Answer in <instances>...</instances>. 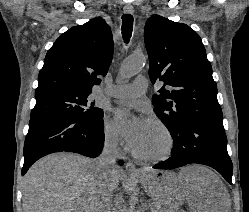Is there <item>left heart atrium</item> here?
Returning <instances> with one entry per match:
<instances>
[{
  "label": "left heart atrium",
  "instance_id": "left-heart-atrium-1",
  "mask_svg": "<svg viewBox=\"0 0 249 212\" xmlns=\"http://www.w3.org/2000/svg\"><path fill=\"white\" fill-rule=\"evenodd\" d=\"M113 121L117 134L126 143L128 149L136 152L146 121L126 108L114 109Z\"/></svg>",
  "mask_w": 249,
  "mask_h": 212
}]
</instances>
